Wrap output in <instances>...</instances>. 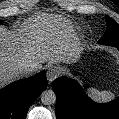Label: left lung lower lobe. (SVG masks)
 <instances>
[{
  "label": "left lung lower lobe",
  "instance_id": "obj_1",
  "mask_svg": "<svg viewBox=\"0 0 119 119\" xmlns=\"http://www.w3.org/2000/svg\"><path fill=\"white\" fill-rule=\"evenodd\" d=\"M113 46L119 50V43ZM52 88L57 97V119H119V98L106 104L94 103L76 81L66 78L54 80Z\"/></svg>",
  "mask_w": 119,
  "mask_h": 119
}]
</instances>
